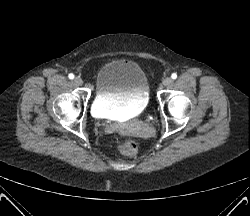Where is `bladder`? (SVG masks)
I'll use <instances>...</instances> for the list:
<instances>
[{
	"instance_id": "1",
	"label": "bladder",
	"mask_w": 250,
	"mask_h": 216,
	"mask_svg": "<svg viewBox=\"0 0 250 216\" xmlns=\"http://www.w3.org/2000/svg\"><path fill=\"white\" fill-rule=\"evenodd\" d=\"M149 101V83L138 64L114 60L97 72L93 112L99 117H119L142 112Z\"/></svg>"
}]
</instances>
